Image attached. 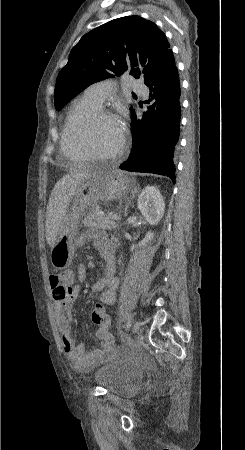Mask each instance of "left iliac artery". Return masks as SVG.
Instances as JSON below:
<instances>
[{"label": "left iliac artery", "instance_id": "44dca946", "mask_svg": "<svg viewBox=\"0 0 245 450\" xmlns=\"http://www.w3.org/2000/svg\"><path fill=\"white\" fill-rule=\"evenodd\" d=\"M131 327V319H128L127 323H126V330H129Z\"/></svg>", "mask_w": 245, "mask_h": 450}]
</instances>
